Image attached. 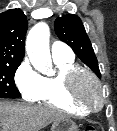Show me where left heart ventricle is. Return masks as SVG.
I'll return each instance as SVG.
<instances>
[{"instance_id": "obj_1", "label": "left heart ventricle", "mask_w": 117, "mask_h": 131, "mask_svg": "<svg viewBox=\"0 0 117 131\" xmlns=\"http://www.w3.org/2000/svg\"><path fill=\"white\" fill-rule=\"evenodd\" d=\"M82 92L86 97L90 99H95L97 97V90L95 88V85L90 80H86L83 83Z\"/></svg>"}]
</instances>
